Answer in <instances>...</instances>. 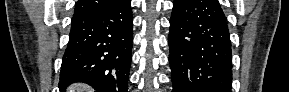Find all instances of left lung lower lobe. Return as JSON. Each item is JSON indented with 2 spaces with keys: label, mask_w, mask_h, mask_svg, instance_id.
Masks as SVG:
<instances>
[{
  "label": "left lung lower lobe",
  "mask_w": 289,
  "mask_h": 92,
  "mask_svg": "<svg viewBox=\"0 0 289 92\" xmlns=\"http://www.w3.org/2000/svg\"><path fill=\"white\" fill-rule=\"evenodd\" d=\"M168 43L172 92H231L230 34L217 0H174Z\"/></svg>",
  "instance_id": "0a47b994"
}]
</instances>
